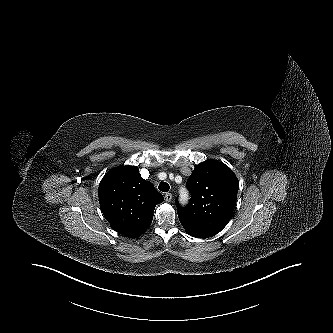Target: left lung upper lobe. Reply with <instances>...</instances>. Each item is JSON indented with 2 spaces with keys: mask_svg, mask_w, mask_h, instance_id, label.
Masks as SVG:
<instances>
[{
  "mask_svg": "<svg viewBox=\"0 0 333 333\" xmlns=\"http://www.w3.org/2000/svg\"><path fill=\"white\" fill-rule=\"evenodd\" d=\"M191 193L185 208L178 206V217L189 235L208 238L229 222L236 205L239 182L224 163L207 160L198 164L187 181Z\"/></svg>",
  "mask_w": 333,
  "mask_h": 333,
  "instance_id": "left-lung-upper-lobe-1",
  "label": "left lung upper lobe"
}]
</instances>
